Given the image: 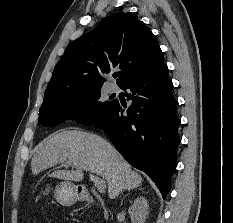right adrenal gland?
<instances>
[{"mask_svg":"<svg viewBox=\"0 0 233 223\" xmlns=\"http://www.w3.org/2000/svg\"><path fill=\"white\" fill-rule=\"evenodd\" d=\"M140 189H142V187H140ZM127 195H129V193H127ZM124 199V197H123ZM123 199H121V205H123Z\"/></svg>","mask_w":233,"mask_h":223,"instance_id":"2a0ac1e0","label":"right adrenal gland"}]
</instances>
